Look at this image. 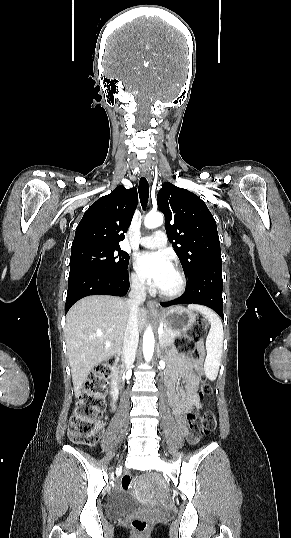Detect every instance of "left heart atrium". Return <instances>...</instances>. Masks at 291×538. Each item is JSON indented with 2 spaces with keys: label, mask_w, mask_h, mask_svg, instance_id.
<instances>
[{
  "label": "left heart atrium",
  "mask_w": 291,
  "mask_h": 538,
  "mask_svg": "<svg viewBox=\"0 0 291 538\" xmlns=\"http://www.w3.org/2000/svg\"><path fill=\"white\" fill-rule=\"evenodd\" d=\"M135 268L142 279L159 288L172 264L162 252H143L136 257Z\"/></svg>",
  "instance_id": "39dd6f15"
}]
</instances>
